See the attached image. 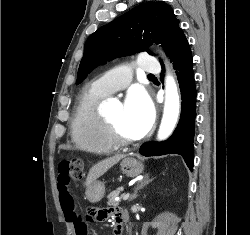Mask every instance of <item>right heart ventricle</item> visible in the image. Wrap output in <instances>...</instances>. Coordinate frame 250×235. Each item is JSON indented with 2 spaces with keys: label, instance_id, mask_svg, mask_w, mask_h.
Returning <instances> with one entry per match:
<instances>
[{
  "label": "right heart ventricle",
  "instance_id": "1",
  "mask_svg": "<svg viewBox=\"0 0 250 235\" xmlns=\"http://www.w3.org/2000/svg\"><path fill=\"white\" fill-rule=\"evenodd\" d=\"M108 96L91 86L78 100L71 122V135L76 147L83 152L105 154L117 148L100 111L101 103Z\"/></svg>",
  "mask_w": 250,
  "mask_h": 235
}]
</instances>
